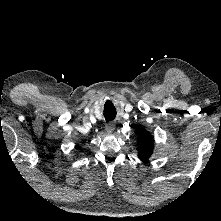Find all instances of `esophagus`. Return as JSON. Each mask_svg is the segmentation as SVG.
<instances>
[{
    "label": "esophagus",
    "mask_w": 221,
    "mask_h": 221,
    "mask_svg": "<svg viewBox=\"0 0 221 221\" xmlns=\"http://www.w3.org/2000/svg\"><path fill=\"white\" fill-rule=\"evenodd\" d=\"M105 130L108 134H112L115 130V124L110 122L106 125Z\"/></svg>",
    "instance_id": "esophagus-1"
}]
</instances>
